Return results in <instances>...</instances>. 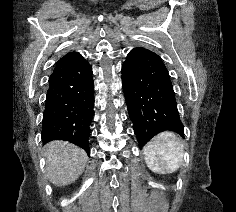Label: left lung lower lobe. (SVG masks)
Returning a JSON list of instances; mask_svg holds the SVG:
<instances>
[{"label":"left lung lower lobe","instance_id":"1","mask_svg":"<svg viewBox=\"0 0 236 212\" xmlns=\"http://www.w3.org/2000/svg\"><path fill=\"white\" fill-rule=\"evenodd\" d=\"M122 86L141 147L165 130L184 136L169 72L159 55L145 47L132 49L122 65Z\"/></svg>","mask_w":236,"mask_h":212}]
</instances>
